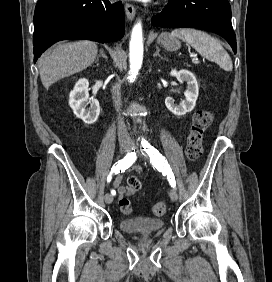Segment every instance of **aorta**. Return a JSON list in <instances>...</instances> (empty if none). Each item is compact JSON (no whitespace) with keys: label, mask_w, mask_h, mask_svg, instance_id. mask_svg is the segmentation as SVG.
<instances>
[{"label":"aorta","mask_w":272,"mask_h":282,"mask_svg":"<svg viewBox=\"0 0 272 282\" xmlns=\"http://www.w3.org/2000/svg\"><path fill=\"white\" fill-rule=\"evenodd\" d=\"M129 61H130V71L129 80L133 82L139 72L142 61H143V37H142V25L138 22L132 30L131 40L129 44Z\"/></svg>","instance_id":"762f6f07"}]
</instances>
